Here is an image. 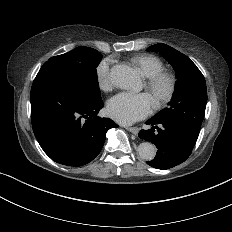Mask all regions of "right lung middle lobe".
<instances>
[{"instance_id":"dd1d6c3e","label":"right lung middle lobe","mask_w":232,"mask_h":232,"mask_svg":"<svg viewBox=\"0 0 232 232\" xmlns=\"http://www.w3.org/2000/svg\"><path fill=\"white\" fill-rule=\"evenodd\" d=\"M102 55L95 49L81 46L65 54L51 57L44 66H61L77 81L83 96L89 100H100L96 67Z\"/></svg>"}]
</instances>
